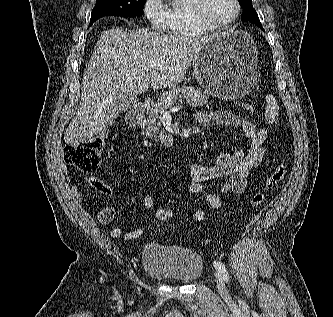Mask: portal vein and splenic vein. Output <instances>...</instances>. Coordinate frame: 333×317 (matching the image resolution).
<instances>
[{"instance_id": "portal-vein-and-splenic-vein-1", "label": "portal vein and splenic vein", "mask_w": 333, "mask_h": 317, "mask_svg": "<svg viewBox=\"0 0 333 317\" xmlns=\"http://www.w3.org/2000/svg\"><path fill=\"white\" fill-rule=\"evenodd\" d=\"M154 66H157V64L154 63ZM180 109H181V106L172 107V108H170L169 110H166L165 113H164V115H165V116H166V115H169L170 112H175V111H178V110H180Z\"/></svg>"}]
</instances>
